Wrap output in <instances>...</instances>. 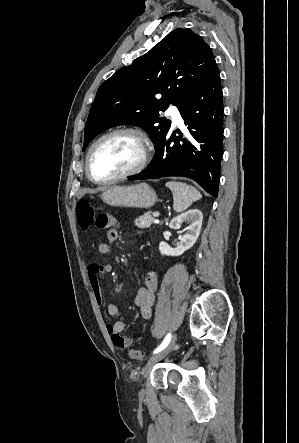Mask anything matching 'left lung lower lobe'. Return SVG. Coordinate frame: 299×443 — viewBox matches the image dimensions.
Returning <instances> with one entry per match:
<instances>
[{"instance_id":"1","label":"left lung lower lobe","mask_w":299,"mask_h":443,"mask_svg":"<svg viewBox=\"0 0 299 443\" xmlns=\"http://www.w3.org/2000/svg\"><path fill=\"white\" fill-rule=\"evenodd\" d=\"M179 111L189 134L183 135L180 130L168 131L148 167L129 179L188 177L217 196L222 159L223 98L216 64L208 77L184 100Z\"/></svg>"}]
</instances>
